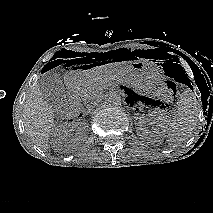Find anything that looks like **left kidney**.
Returning a JSON list of instances; mask_svg holds the SVG:
<instances>
[{"label": "left kidney", "mask_w": 213, "mask_h": 213, "mask_svg": "<svg viewBox=\"0 0 213 213\" xmlns=\"http://www.w3.org/2000/svg\"><path fill=\"white\" fill-rule=\"evenodd\" d=\"M152 116L155 122L153 131L147 129L146 121L143 117H136L137 133L143 139H159L166 132V116L161 111H154Z\"/></svg>", "instance_id": "1"}]
</instances>
